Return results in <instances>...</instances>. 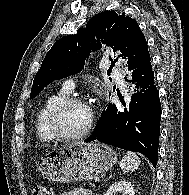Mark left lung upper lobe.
I'll use <instances>...</instances> for the list:
<instances>
[{
	"instance_id": "1",
	"label": "left lung upper lobe",
	"mask_w": 189,
	"mask_h": 195,
	"mask_svg": "<svg viewBox=\"0 0 189 195\" xmlns=\"http://www.w3.org/2000/svg\"><path fill=\"white\" fill-rule=\"evenodd\" d=\"M104 45L127 61L129 72L150 58L137 22L125 14L104 11L92 17L75 35L55 42L36 73L30 98L36 97L51 82L80 72L90 53Z\"/></svg>"
}]
</instances>
